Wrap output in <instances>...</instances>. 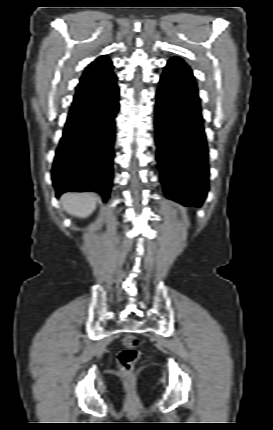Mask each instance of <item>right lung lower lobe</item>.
<instances>
[{
    "label": "right lung lower lobe",
    "mask_w": 273,
    "mask_h": 430,
    "mask_svg": "<svg viewBox=\"0 0 273 430\" xmlns=\"http://www.w3.org/2000/svg\"><path fill=\"white\" fill-rule=\"evenodd\" d=\"M116 81L114 75L92 85L88 96L72 105L51 170L57 197L67 191H95L107 202L119 110Z\"/></svg>",
    "instance_id": "obj_1"
}]
</instances>
